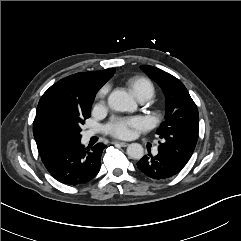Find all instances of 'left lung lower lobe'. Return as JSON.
Wrapping results in <instances>:
<instances>
[{
	"label": "left lung lower lobe",
	"mask_w": 241,
	"mask_h": 241,
	"mask_svg": "<svg viewBox=\"0 0 241 241\" xmlns=\"http://www.w3.org/2000/svg\"><path fill=\"white\" fill-rule=\"evenodd\" d=\"M137 167L146 176L162 180L176 175L184 166L167 153L158 150L155 156L149 153L148 156L141 158Z\"/></svg>",
	"instance_id": "0a47b994"
}]
</instances>
